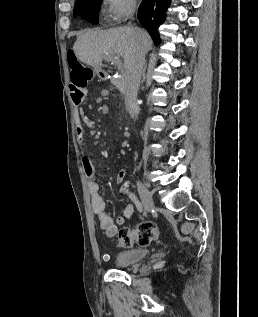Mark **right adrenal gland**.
<instances>
[{
  "mask_svg": "<svg viewBox=\"0 0 258 317\" xmlns=\"http://www.w3.org/2000/svg\"><path fill=\"white\" fill-rule=\"evenodd\" d=\"M147 66H144L143 70H142V76H143V80H141V82H144L145 78H146V74H145V70H146Z\"/></svg>",
  "mask_w": 258,
  "mask_h": 317,
  "instance_id": "1",
  "label": "right adrenal gland"
}]
</instances>
